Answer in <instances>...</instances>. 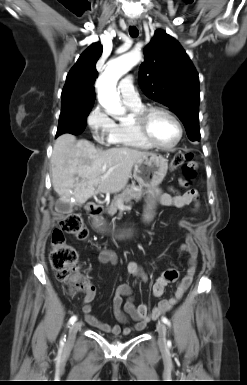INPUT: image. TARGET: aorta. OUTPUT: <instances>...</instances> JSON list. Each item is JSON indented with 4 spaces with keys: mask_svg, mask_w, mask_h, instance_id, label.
Listing matches in <instances>:
<instances>
[{
    "mask_svg": "<svg viewBox=\"0 0 247 385\" xmlns=\"http://www.w3.org/2000/svg\"><path fill=\"white\" fill-rule=\"evenodd\" d=\"M141 53L132 51L121 57L110 60L105 71L96 81L98 101L107 113L115 117L123 116L126 109L121 104L117 91V82L141 60Z\"/></svg>",
    "mask_w": 247,
    "mask_h": 385,
    "instance_id": "1",
    "label": "aorta"
}]
</instances>
